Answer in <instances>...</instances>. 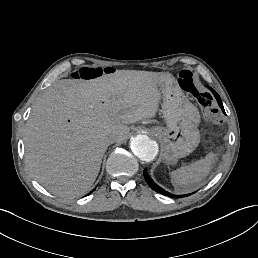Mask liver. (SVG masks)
Returning a JSON list of instances; mask_svg holds the SVG:
<instances>
[{
    "instance_id": "1",
    "label": "liver",
    "mask_w": 258,
    "mask_h": 258,
    "mask_svg": "<svg viewBox=\"0 0 258 258\" xmlns=\"http://www.w3.org/2000/svg\"><path fill=\"white\" fill-rule=\"evenodd\" d=\"M161 72L117 70L91 80L62 79L37 99L24 128L25 162L52 194L75 198L95 182L108 145L156 115ZM164 80V78H163Z\"/></svg>"
}]
</instances>
